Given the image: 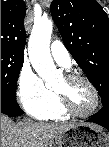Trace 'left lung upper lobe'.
<instances>
[{"instance_id":"obj_1","label":"left lung upper lobe","mask_w":109,"mask_h":147,"mask_svg":"<svg viewBox=\"0 0 109 147\" xmlns=\"http://www.w3.org/2000/svg\"><path fill=\"white\" fill-rule=\"evenodd\" d=\"M51 15L67 50L109 102V18L95 0H53Z\"/></svg>"}]
</instances>
